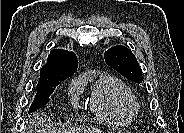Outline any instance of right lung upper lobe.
I'll return each mask as SVG.
<instances>
[{
	"instance_id": "obj_1",
	"label": "right lung upper lobe",
	"mask_w": 184,
	"mask_h": 133,
	"mask_svg": "<svg viewBox=\"0 0 184 133\" xmlns=\"http://www.w3.org/2000/svg\"><path fill=\"white\" fill-rule=\"evenodd\" d=\"M77 67L78 60L73 52L53 49L47 58V63L40 70L37 88H43L54 81H63L71 77Z\"/></svg>"
}]
</instances>
